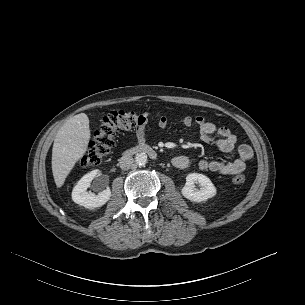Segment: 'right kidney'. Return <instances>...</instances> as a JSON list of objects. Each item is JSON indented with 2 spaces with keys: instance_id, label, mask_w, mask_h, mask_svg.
<instances>
[{
  "instance_id": "right-kidney-1",
  "label": "right kidney",
  "mask_w": 305,
  "mask_h": 305,
  "mask_svg": "<svg viewBox=\"0 0 305 305\" xmlns=\"http://www.w3.org/2000/svg\"><path fill=\"white\" fill-rule=\"evenodd\" d=\"M97 175V170L91 171L84 175L73 188L72 200L88 209H94L103 206L111 197L109 187L99 192L97 195L92 192H87L92 180Z\"/></svg>"
}]
</instances>
